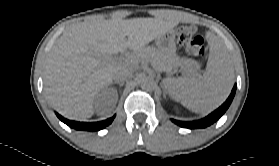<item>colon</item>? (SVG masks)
Segmentation results:
<instances>
[{
    "label": "colon",
    "instance_id": "1",
    "mask_svg": "<svg viewBox=\"0 0 279 166\" xmlns=\"http://www.w3.org/2000/svg\"><path fill=\"white\" fill-rule=\"evenodd\" d=\"M179 45L196 58H205L207 50L199 28L196 25H183L177 30Z\"/></svg>",
    "mask_w": 279,
    "mask_h": 166
}]
</instances>
